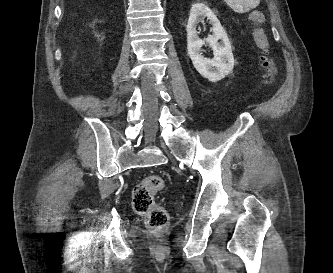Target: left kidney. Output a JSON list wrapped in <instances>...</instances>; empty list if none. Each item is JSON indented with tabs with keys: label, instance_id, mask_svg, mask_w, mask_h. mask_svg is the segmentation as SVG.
<instances>
[{
	"label": "left kidney",
	"instance_id": "left-kidney-1",
	"mask_svg": "<svg viewBox=\"0 0 333 273\" xmlns=\"http://www.w3.org/2000/svg\"><path fill=\"white\" fill-rule=\"evenodd\" d=\"M207 17L212 25V35L202 40L197 34V24ZM218 40H221L219 43ZM206 43L213 50V59L201 55V48ZM187 50L195 69L211 82H217L228 75L234 68V57L229 38L219 20L205 3H195L190 10L187 24Z\"/></svg>",
	"mask_w": 333,
	"mask_h": 273
}]
</instances>
